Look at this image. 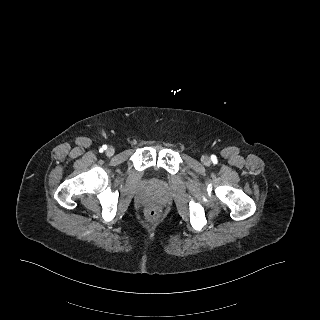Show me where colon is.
<instances>
[{"label": "colon", "instance_id": "colon-1", "mask_svg": "<svg viewBox=\"0 0 320 320\" xmlns=\"http://www.w3.org/2000/svg\"><path fill=\"white\" fill-rule=\"evenodd\" d=\"M146 216L150 219V220H155L159 217V211L156 208H149L146 211Z\"/></svg>", "mask_w": 320, "mask_h": 320}]
</instances>
